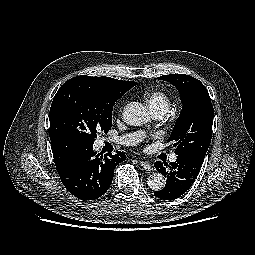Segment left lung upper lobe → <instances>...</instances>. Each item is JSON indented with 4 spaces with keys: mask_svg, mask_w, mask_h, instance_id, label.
Listing matches in <instances>:
<instances>
[{
    "mask_svg": "<svg viewBox=\"0 0 255 255\" xmlns=\"http://www.w3.org/2000/svg\"><path fill=\"white\" fill-rule=\"evenodd\" d=\"M158 79L173 84L182 101V112L168 139L175 154L204 160L210 145L214 109L205 86L185 74L163 75Z\"/></svg>",
    "mask_w": 255,
    "mask_h": 255,
    "instance_id": "left-lung-upper-lobe-1",
    "label": "left lung upper lobe"
}]
</instances>
